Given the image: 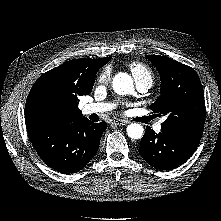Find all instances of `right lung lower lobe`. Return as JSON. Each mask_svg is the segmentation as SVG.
Segmentation results:
<instances>
[{
	"mask_svg": "<svg viewBox=\"0 0 221 221\" xmlns=\"http://www.w3.org/2000/svg\"><path fill=\"white\" fill-rule=\"evenodd\" d=\"M32 145L40 158L62 173L80 171L96 154L106 122L71 118L56 124H26Z\"/></svg>",
	"mask_w": 221,
	"mask_h": 221,
	"instance_id": "obj_1",
	"label": "right lung lower lobe"
}]
</instances>
